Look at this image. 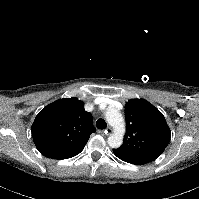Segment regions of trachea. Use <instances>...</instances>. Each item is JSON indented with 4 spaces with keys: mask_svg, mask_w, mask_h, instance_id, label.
<instances>
[{
    "mask_svg": "<svg viewBox=\"0 0 199 199\" xmlns=\"http://www.w3.org/2000/svg\"><path fill=\"white\" fill-rule=\"evenodd\" d=\"M96 125L98 129H105L107 127V124L103 119H98Z\"/></svg>",
    "mask_w": 199,
    "mask_h": 199,
    "instance_id": "obj_1",
    "label": "trachea"
}]
</instances>
